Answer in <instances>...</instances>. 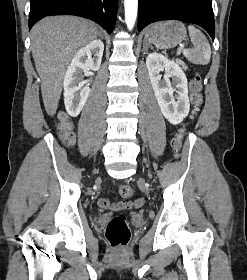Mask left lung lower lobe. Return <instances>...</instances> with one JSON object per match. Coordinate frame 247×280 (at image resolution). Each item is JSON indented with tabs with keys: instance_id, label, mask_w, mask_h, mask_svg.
<instances>
[{
	"instance_id": "0a47b994",
	"label": "left lung lower lobe",
	"mask_w": 247,
	"mask_h": 280,
	"mask_svg": "<svg viewBox=\"0 0 247 280\" xmlns=\"http://www.w3.org/2000/svg\"><path fill=\"white\" fill-rule=\"evenodd\" d=\"M161 20H181L203 27L214 40L212 0H139L138 31Z\"/></svg>"
}]
</instances>
